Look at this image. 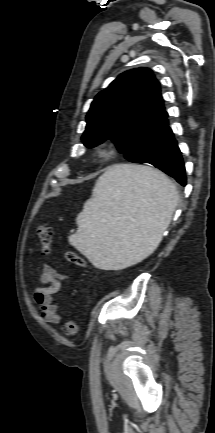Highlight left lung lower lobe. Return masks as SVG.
<instances>
[{"label": "left lung lower lobe", "instance_id": "left-lung-lower-lobe-1", "mask_svg": "<svg viewBox=\"0 0 215 433\" xmlns=\"http://www.w3.org/2000/svg\"><path fill=\"white\" fill-rule=\"evenodd\" d=\"M155 167L173 177L181 185H186L185 166L181 151L170 128L164 139L160 157Z\"/></svg>", "mask_w": 215, "mask_h": 433}]
</instances>
